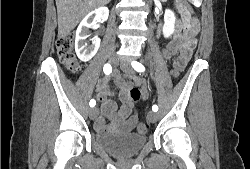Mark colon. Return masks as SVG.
<instances>
[{
    "label": "colon",
    "instance_id": "1",
    "mask_svg": "<svg viewBox=\"0 0 250 169\" xmlns=\"http://www.w3.org/2000/svg\"><path fill=\"white\" fill-rule=\"evenodd\" d=\"M181 7L187 10V13H192V5L188 3V0H180ZM75 42V34H66L56 38V51L61 64L71 73H77L79 71V62L74 53L73 43ZM169 73L172 75V80H177L179 77L178 69H170ZM131 98L134 101H138L141 95L139 89H134L130 92ZM146 127L142 124H138V131L145 132Z\"/></svg>",
    "mask_w": 250,
    "mask_h": 169
}]
</instances>
